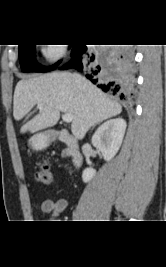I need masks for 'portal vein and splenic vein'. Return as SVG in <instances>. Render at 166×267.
Listing matches in <instances>:
<instances>
[{
    "label": "portal vein and splenic vein",
    "mask_w": 166,
    "mask_h": 267,
    "mask_svg": "<svg viewBox=\"0 0 166 267\" xmlns=\"http://www.w3.org/2000/svg\"><path fill=\"white\" fill-rule=\"evenodd\" d=\"M43 105H44L43 103H39L38 104V108L41 109L43 107ZM62 119H63L64 122L70 123L73 120V115L70 114V113H65V114L62 115Z\"/></svg>",
    "instance_id": "18ae733b"
}]
</instances>
